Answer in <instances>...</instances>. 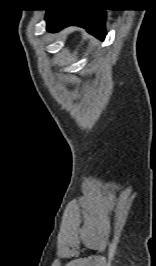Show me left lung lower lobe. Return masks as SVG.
Listing matches in <instances>:
<instances>
[{
  "label": "left lung lower lobe",
  "mask_w": 156,
  "mask_h": 266,
  "mask_svg": "<svg viewBox=\"0 0 156 266\" xmlns=\"http://www.w3.org/2000/svg\"><path fill=\"white\" fill-rule=\"evenodd\" d=\"M106 12L102 9H59L47 10V29L56 31L69 25L85 28L101 39L105 38Z\"/></svg>",
  "instance_id": "0a47b994"
}]
</instances>
